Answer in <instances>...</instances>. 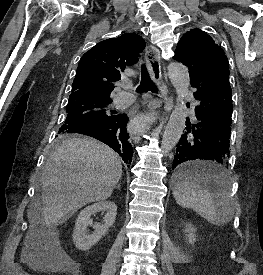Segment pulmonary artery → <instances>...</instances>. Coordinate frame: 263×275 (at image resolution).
Wrapping results in <instances>:
<instances>
[{
	"label": "pulmonary artery",
	"mask_w": 263,
	"mask_h": 275,
	"mask_svg": "<svg viewBox=\"0 0 263 275\" xmlns=\"http://www.w3.org/2000/svg\"><path fill=\"white\" fill-rule=\"evenodd\" d=\"M188 98L193 101L192 96H188ZM133 102H134V96L130 92H127V91L119 92L115 99V105L118 108L128 107Z\"/></svg>",
	"instance_id": "obj_1"
}]
</instances>
